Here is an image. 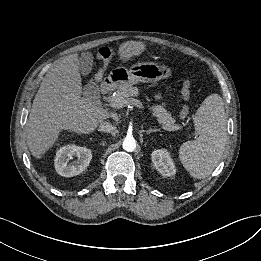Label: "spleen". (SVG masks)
I'll return each instance as SVG.
<instances>
[{"instance_id": "3e777b00", "label": "spleen", "mask_w": 261, "mask_h": 261, "mask_svg": "<svg viewBox=\"0 0 261 261\" xmlns=\"http://www.w3.org/2000/svg\"><path fill=\"white\" fill-rule=\"evenodd\" d=\"M194 125L199 137L180 146L179 159L192 177L203 179L218 165L227 140L224 104L218 94H211L203 101Z\"/></svg>"}]
</instances>
